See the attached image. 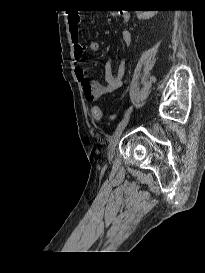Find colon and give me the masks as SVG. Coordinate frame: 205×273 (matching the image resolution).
<instances>
[{"mask_svg":"<svg viewBox=\"0 0 205 273\" xmlns=\"http://www.w3.org/2000/svg\"><path fill=\"white\" fill-rule=\"evenodd\" d=\"M91 115H92V118L95 121H100L102 119V111H101V109L98 106H93L91 108ZM115 117H116L115 114H113L111 116L112 119H114Z\"/></svg>","mask_w":205,"mask_h":273,"instance_id":"colon-1","label":"colon"}]
</instances>
